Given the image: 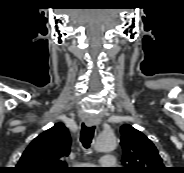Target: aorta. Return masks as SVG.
Listing matches in <instances>:
<instances>
[{"mask_svg":"<svg viewBox=\"0 0 184 173\" xmlns=\"http://www.w3.org/2000/svg\"><path fill=\"white\" fill-rule=\"evenodd\" d=\"M117 146V139L113 133H104L98 136L95 142V150L98 152H110Z\"/></svg>","mask_w":184,"mask_h":173,"instance_id":"aorta-1","label":"aorta"}]
</instances>
